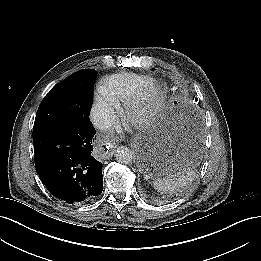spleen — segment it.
<instances>
[{
  "instance_id": "spleen-1",
  "label": "spleen",
  "mask_w": 261,
  "mask_h": 261,
  "mask_svg": "<svg viewBox=\"0 0 261 261\" xmlns=\"http://www.w3.org/2000/svg\"><path fill=\"white\" fill-rule=\"evenodd\" d=\"M196 171L190 168L184 169L177 178L167 176L165 178H157L153 182V187L160 193H173L180 188L187 186L194 180Z\"/></svg>"
}]
</instances>
